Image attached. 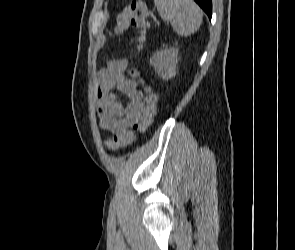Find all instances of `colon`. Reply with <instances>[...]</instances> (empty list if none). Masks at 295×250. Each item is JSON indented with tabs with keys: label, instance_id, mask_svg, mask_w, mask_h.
<instances>
[{
	"label": "colon",
	"instance_id": "obj_1",
	"mask_svg": "<svg viewBox=\"0 0 295 250\" xmlns=\"http://www.w3.org/2000/svg\"><path fill=\"white\" fill-rule=\"evenodd\" d=\"M146 18L147 7L140 1H133L128 4L115 18L116 33H122L130 27L135 28L136 32L133 37V47L136 52H139L143 48L145 42V32L147 28ZM130 75L136 76L137 73L134 69H131ZM156 107L157 96L151 89L146 88L145 111L136 128L139 132H144L150 126L156 114ZM105 144L107 149L111 152L122 148L121 143L113 139L107 140Z\"/></svg>",
	"mask_w": 295,
	"mask_h": 250
}]
</instances>
